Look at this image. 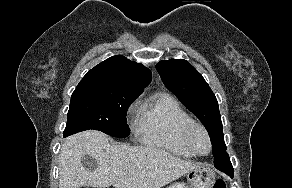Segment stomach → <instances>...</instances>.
I'll return each instance as SVG.
<instances>
[{
	"label": "stomach",
	"mask_w": 292,
	"mask_h": 188,
	"mask_svg": "<svg viewBox=\"0 0 292 188\" xmlns=\"http://www.w3.org/2000/svg\"><path fill=\"white\" fill-rule=\"evenodd\" d=\"M187 183L176 182L169 188H213L216 174L210 166L200 165L186 173Z\"/></svg>",
	"instance_id": "0dacf381"
}]
</instances>
